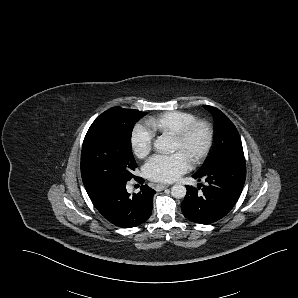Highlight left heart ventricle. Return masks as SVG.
Wrapping results in <instances>:
<instances>
[{"mask_svg": "<svg viewBox=\"0 0 298 298\" xmlns=\"http://www.w3.org/2000/svg\"><path fill=\"white\" fill-rule=\"evenodd\" d=\"M201 141V133L199 130H195L188 137L181 141L176 140H162V151L166 152H178L185 161L194 154L199 147Z\"/></svg>", "mask_w": 298, "mask_h": 298, "instance_id": "1", "label": "left heart ventricle"}]
</instances>
